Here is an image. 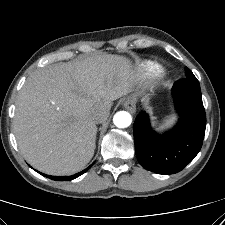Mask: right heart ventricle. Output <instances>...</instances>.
I'll list each match as a JSON object with an SVG mask.
<instances>
[{"label":"right heart ventricle","instance_id":"1","mask_svg":"<svg viewBox=\"0 0 225 225\" xmlns=\"http://www.w3.org/2000/svg\"><path fill=\"white\" fill-rule=\"evenodd\" d=\"M143 70L147 75H153L157 72L158 66L154 63L147 62L144 64Z\"/></svg>","mask_w":225,"mask_h":225}]
</instances>
